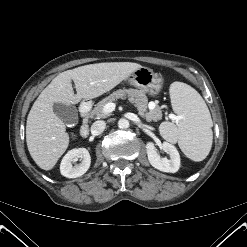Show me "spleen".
<instances>
[{"mask_svg":"<svg viewBox=\"0 0 247 247\" xmlns=\"http://www.w3.org/2000/svg\"><path fill=\"white\" fill-rule=\"evenodd\" d=\"M172 108L180 117L176 124L161 123V135L171 142H178L181 151L191 160H204L212 147L213 122L201 95L183 82L170 86Z\"/></svg>","mask_w":247,"mask_h":247,"instance_id":"1","label":"spleen"}]
</instances>
